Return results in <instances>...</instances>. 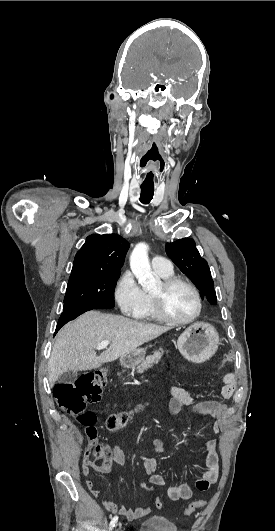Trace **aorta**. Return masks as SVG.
<instances>
[{"label": "aorta", "mask_w": 275, "mask_h": 531, "mask_svg": "<svg viewBox=\"0 0 275 531\" xmlns=\"http://www.w3.org/2000/svg\"><path fill=\"white\" fill-rule=\"evenodd\" d=\"M148 249L149 247L146 243L135 245V249L130 255V269L144 291H154V289L160 287L161 281L160 279H155L154 275H152Z\"/></svg>", "instance_id": "aorta-1"}]
</instances>
